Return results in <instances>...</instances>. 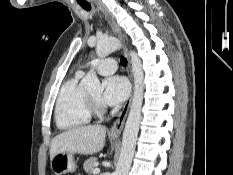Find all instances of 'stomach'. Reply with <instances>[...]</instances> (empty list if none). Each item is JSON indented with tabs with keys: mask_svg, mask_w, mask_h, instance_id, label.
I'll return each instance as SVG.
<instances>
[{
	"mask_svg": "<svg viewBox=\"0 0 233 175\" xmlns=\"http://www.w3.org/2000/svg\"><path fill=\"white\" fill-rule=\"evenodd\" d=\"M117 136H112L116 138ZM51 169L55 175H63L68 172H74L76 165L71 153H58L51 160Z\"/></svg>",
	"mask_w": 233,
	"mask_h": 175,
	"instance_id": "stomach-1",
	"label": "stomach"
}]
</instances>
